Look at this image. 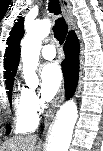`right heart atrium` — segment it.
I'll list each match as a JSON object with an SVG mask.
<instances>
[{"label": "right heart atrium", "mask_w": 103, "mask_h": 151, "mask_svg": "<svg viewBox=\"0 0 103 151\" xmlns=\"http://www.w3.org/2000/svg\"><path fill=\"white\" fill-rule=\"evenodd\" d=\"M22 96L28 112L32 116L37 117L41 112L42 102L35 90L30 88H23Z\"/></svg>", "instance_id": "1"}]
</instances>
